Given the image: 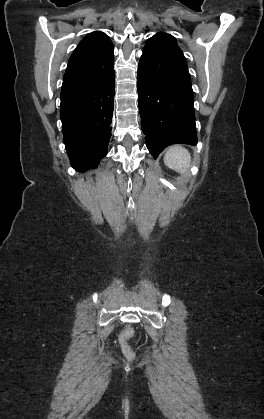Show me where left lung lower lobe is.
<instances>
[{
	"label": "left lung lower lobe",
	"instance_id": "left-lung-lower-lobe-1",
	"mask_svg": "<svg viewBox=\"0 0 264 419\" xmlns=\"http://www.w3.org/2000/svg\"><path fill=\"white\" fill-rule=\"evenodd\" d=\"M138 96L142 131L155 159L171 144H197L191 79L173 36L158 33L146 41Z\"/></svg>",
	"mask_w": 264,
	"mask_h": 419
}]
</instances>
